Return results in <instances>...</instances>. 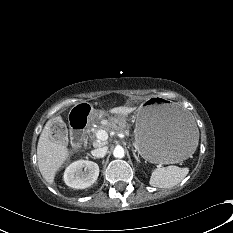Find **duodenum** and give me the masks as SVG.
Here are the masks:
<instances>
[{
  "instance_id": "obj_1",
  "label": "duodenum",
  "mask_w": 233,
  "mask_h": 233,
  "mask_svg": "<svg viewBox=\"0 0 233 233\" xmlns=\"http://www.w3.org/2000/svg\"><path fill=\"white\" fill-rule=\"evenodd\" d=\"M91 115V108L86 103H79L75 106L70 116L72 138L75 146L81 147L86 141L88 119Z\"/></svg>"
}]
</instances>
